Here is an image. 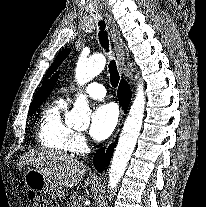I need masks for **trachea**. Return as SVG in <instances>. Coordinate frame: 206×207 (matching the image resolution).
I'll return each mask as SVG.
<instances>
[{"instance_id":"obj_1","label":"trachea","mask_w":206,"mask_h":207,"mask_svg":"<svg viewBox=\"0 0 206 207\" xmlns=\"http://www.w3.org/2000/svg\"><path fill=\"white\" fill-rule=\"evenodd\" d=\"M98 25L100 26V31L98 34L99 42L106 51H109V40H108V34L105 30V22L103 20H100L98 22ZM108 68H109L111 85L112 87L116 88L118 86L119 79H120L116 62L114 60H111L108 65Z\"/></svg>"}]
</instances>
